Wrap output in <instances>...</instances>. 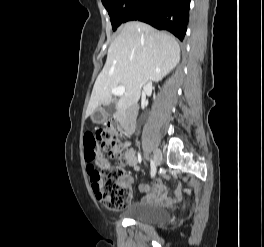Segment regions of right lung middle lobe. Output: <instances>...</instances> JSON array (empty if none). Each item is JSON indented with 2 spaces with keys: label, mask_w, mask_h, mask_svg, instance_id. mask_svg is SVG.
Segmentation results:
<instances>
[{
  "label": "right lung middle lobe",
  "mask_w": 264,
  "mask_h": 247,
  "mask_svg": "<svg viewBox=\"0 0 264 247\" xmlns=\"http://www.w3.org/2000/svg\"><path fill=\"white\" fill-rule=\"evenodd\" d=\"M133 2L134 0H102L110 16L113 31L123 22L125 13Z\"/></svg>",
  "instance_id": "dd1d6c3e"
}]
</instances>
